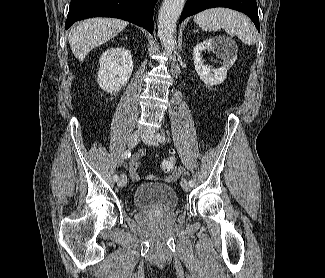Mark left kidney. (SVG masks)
<instances>
[{"mask_svg": "<svg viewBox=\"0 0 325 278\" xmlns=\"http://www.w3.org/2000/svg\"><path fill=\"white\" fill-rule=\"evenodd\" d=\"M203 51L215 53L218 58L223 60V66L216 69L205 66L202 60ZM236 59L235 45L224 37L205 40L196 45L193 51V60L198 76L206 85L211 86L221 84L227 78V70L232 67Z\"/></svg>", "mask_w": 325, "mask_h": 278, "instance_id": "obj_1", "label": "left kidney"}]
</instances>
